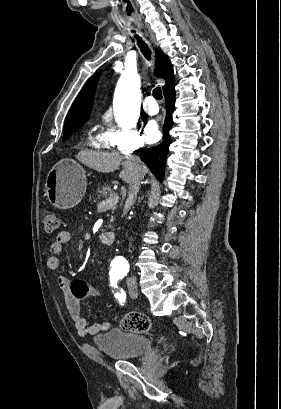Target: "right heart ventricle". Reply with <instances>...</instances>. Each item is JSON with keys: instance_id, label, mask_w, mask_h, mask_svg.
Instances as JSON below:
<instances>
[{"instance_id": "obj_1", "label": "right heart ventricle", "mask_w": 281, "mask_h": 409, "mask_svg": "<svg viewBox=\"0 0 281 409\" xmlns=\"http://www.w3.org/2000/svg\"><path fill=\"white\" fill-rule=\"evenodd\" d=\"M94 137L92 139V147L99 152H106L111 147L108 144L106 132L101 129L95 128L93 131Z\"/></svg>"}]
</instances>
